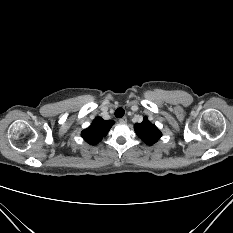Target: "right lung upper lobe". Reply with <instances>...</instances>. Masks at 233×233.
Here are the masks:
<instances>
[{"label":"right lung upper lobe","instance_id":"1","mask_svg":"<svg viewBox=\"0 0 233 233\" xmlns=\"http://www.w3.org/2000/svg\"><path fill=\"white\" fill-rule=\"evenodd\" d=\"M113 124L114 121L112 120H103L101 117H96L91 126L81 132V136L91 145L98 144L107 135Z\"/></svg>","mask_w":233,"mask_h":233}]
</instances>
